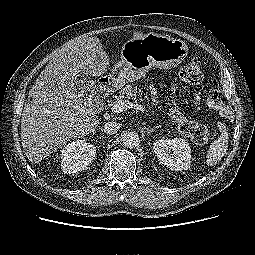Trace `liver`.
<instances>
[{"mask_svg": "<svg viewBox=\"0 0 255 255\" xmlns=\"http://www.w3.org/2000/svg\"><path fill=\"white\" fill-rule=\"evenodd\" d=\"M146 34L134 31L131 38ZM129 38V39H131ZM109 65L108 54L98 37L81 36L67 42L48 62L29 92L21 118V141L31 162L67 142L92 133L99 118L92 101L75 84L80 71L100 77Z\"/></svg>", "mask_w": 255, "mask_h": 255, "instance_id": "1", "label": "liver"}]
</instances>
